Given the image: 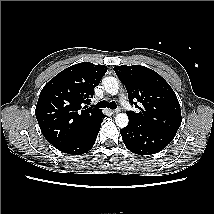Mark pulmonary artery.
I'll return each instance as SVG.
<instances>
[{
    "label": "pulmonary artery",
    "mask_w": 214,
    "mask_h": 214,
    "mask_svg": "<svg viewBox=\"0 0 214 214\" xmlns=\"http://www.w3.org/2000/svg\"><path fill=\"white\" fill-rule=\"evenodd\" d=\"M120 101H121V104L127 109V110H131V106H130V104H129V102H128V100H127V98L126 97H121L120 98Z\"/></svg>",
    "instance_id": "obj_1"
}]
</instances>
